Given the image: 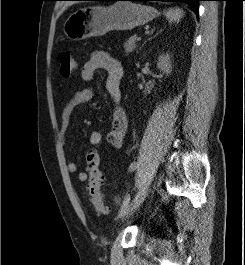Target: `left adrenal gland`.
Instances as JSON below:
<instances>
[{"label":"left adrenal gland","mask_w":245,"mask_h":265,"mask_svg":"<svg viewBox=\"0 0 245 265\" xmlns=\"http://www.w3.org/2000/svg\"><path fill=\"white\" fill-rule=\"evenodd\" d=\"M161 31H162V29H161L158 33H160ZM158 33H157V34H158Z\"/></svg>","instance_id":"1"}]
</instances>
